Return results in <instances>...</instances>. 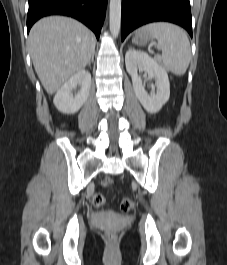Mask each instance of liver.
<instances>
[{"label": "liver", "mask_w": 227, "mask_h": 265, "mask_svg": "<svg viewBox=\"0 0 227 265\" xmlns=\"http://www.w3.org/2000/svg\"><path fill=\"white\" fill-rule=\"evenodd\" d=\"M28 44L35 71L48 94L83 70L95 52L94 34L79 21L63 16L40 19L30 30Z\"/></svg>", "instance_id": "obj_1"}]
</instances>
